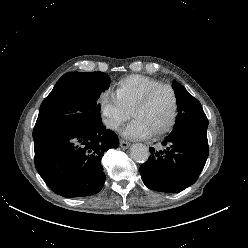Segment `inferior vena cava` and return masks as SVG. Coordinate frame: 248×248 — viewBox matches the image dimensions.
I'll return each instance as SVG.
<instances>
[{
  "mask_svg": "<svg viewBox=\"0 0 248 248\" xmlns=\"http://www.w3.org/2000/svg\"><path fill=\"white\" fill-rule=\"evenodd\" d=\"M107 125L113 129L117 128V124H115V123H108Z\"/></svg>",
  "mask_w": 248,
  "mask_h": 248,
  "instance_id": "602c4592",
  "label": "inferior vena cava"
}]
</instances>
